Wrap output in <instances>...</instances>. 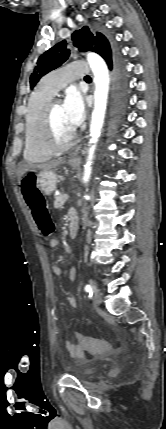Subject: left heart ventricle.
<instances>
[{"mask_svg": "<svg viewBox=\"0 0 166 429\" xmlns=\"http://www.w3.org/2000/svg\"><path fill=\"white\" fill-rule=\"evenodd\" d=\"M52 126L58 142H65L71 135L73 128L69 125L61 103L57 104L52 113Z\"/></svg>", "mask_w": 166, "mask_h": 429, "instance_id": "obj_1", "label": "left heart ventricle"}]
</instances>
